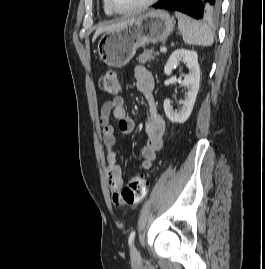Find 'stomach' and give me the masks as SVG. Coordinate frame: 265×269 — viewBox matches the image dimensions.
<instances>
[{
    "instance_id": "0dacf381",
    "label": "stomach",
    "mask_w": 265,
    "mask_h": 269,
    "mask_svg": "<svg viewBox=\"0 0 265 269\" xmlns=\"http://www.w3.org/2000/svg\"><path fill=\"white\" fill-rule=\"evenodd\" d=\"M174 27L175 20L167 11L151 10L118 30L105 32L98 42V54L108 66L123 67L139 47L166 40Z\"/></svg>"
}]
</instances>
